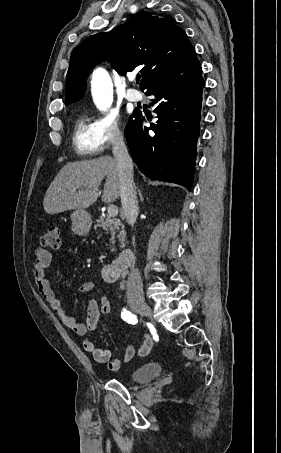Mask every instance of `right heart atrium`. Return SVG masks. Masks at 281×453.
Wrapping results in <instances>:
<instances>
[{"label":"right heart atrium","instance_id":"right-heart-atrium-1","mask_svg":"<svg viewBox=\"0 0 281 453\" xmlns=\"http://www.w3.org/2000/svg\"><path fill=\"white\" fill-rule=\"evenodd\" d=\"M91 90L93 98H106L108 96L107 85L98 79L91 80ZM95 126L102 144L106 148H112L119 145L124 139V128L119 118L113 113H105L98 117L95 121ZM106 171L115 175L119 171V166L109 157L104 158Z\"/></svg>","mask_w":281,"mask_h":453}]
</instances>
